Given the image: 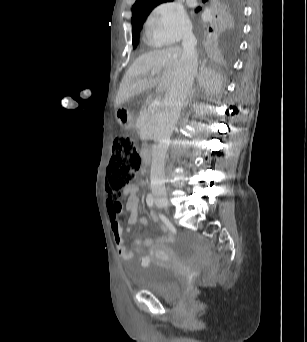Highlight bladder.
I'll list each match as a JSON object with an SVG mask.
<instances>
[{"label": "bladder", "mask_w": 307, "mask_h": 342, "mask_svg": "<svg viewBox=\"0 0 307 342\" xmlns=\"http://www.w3.org/2000/svg\"><path fill=\"white\" fill-rule=\"evenodd\" d=\"M142 288L159 296H168L180 288V276L170 265L151 262L142 277Z\"/></svg>", "instance_id": "obj_1"}]
</instances>
